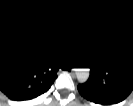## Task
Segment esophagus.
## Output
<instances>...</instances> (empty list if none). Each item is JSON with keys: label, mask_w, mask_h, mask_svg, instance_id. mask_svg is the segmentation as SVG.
Returning a JSON list of instances; mask_svg holds the SVG:
<instances>
[{"label": "esophagus", "mask_w": 133, "mask_h": 106, "mask_svg": "<svg viewBox=\"0 0 133 106\" xmlns=\"http://www.w3.org/2000/svg\"><path fill=\"white\" fill-rule=\"evenodd\" d=\"M73 76L75 75L74 72L71 73Z\"/></svg>", "instance_id": "obj_1"}]
</instances>
